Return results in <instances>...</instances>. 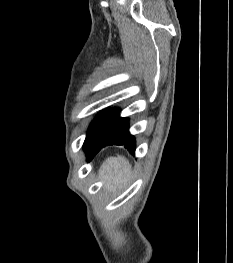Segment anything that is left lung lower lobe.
Returning <instances> with one entry per match:
<instances>
[{
  "label": "left lung lower lobe",
  "mask_w": 233,
  "mask_h": 263,
  "mask_svg": "<svg viewBox=\"0 0 233 263\" xmlns=\"http://www.w3.org/2000/svg\"><path fill=\"white\" fill-rule=\"evenodd\" d=\"M109 145H123L130 153L135 152V138L128 131V120L119 117L117 110H107L100 116L84 147L87 160L90 161L103 147Z\"/></svg>",
  "instance_id": "left-lung-lower-lobe-1"
}]
</instances>
